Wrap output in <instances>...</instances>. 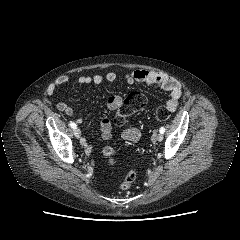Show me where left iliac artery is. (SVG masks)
I'll return each instance as SVG.
<instances>
[{
  "mask_svg": "<svg viewBox=\"0 0 240 240\" xmlns=\"http://www.w3.org/2000/svg\"><path fill=\"white\" fill-rule=\"evenodd\" d=\"M159 131H160L161 134H164L165 128H164V127H161Z\"/></svg>",
  "mask_w": 240,
  "mask_h": 240,
  "instance_id": "1",
  "label": "left iliac artery"
}]
</instances>
